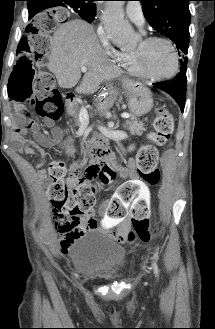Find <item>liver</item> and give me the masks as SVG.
Segmentation results:
<instances>
[{"label":"liver","instance_id":"1","mask_svg":"<svg viewBox=\"0 0 215 329\" xmlns=\"http://www.w3.org/2000/svg\"><path fill=\"white\" fill-rule=\"evenodd\" d=\"M48 69L55 74L62 88H72L81 78V67H88L80 94L93 93L103 81L120 76L119 69L104 57L102 48L87 22L75 19L61 25L53 34Z\"/></svg>","mask_w":215,"mask_h":329}]
</instances>
